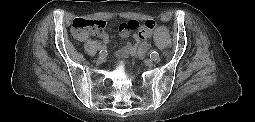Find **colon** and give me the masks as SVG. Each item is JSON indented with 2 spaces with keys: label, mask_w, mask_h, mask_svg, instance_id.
<instances>
[{
  "label": "colon",
  "mask_w": 255,
  "mask_h": 122,
  "mask_svg": "<svg viewBox=\"0 0 255 122\" xmlns=\"http://www.w3.org/2000/svg\"><path fill=\"white\" fill-rule=\"evenodd\" d=\"M106 25L103 20L76 18L72 23V33L75 38L81 39L87 31H103ZM120 25H124L130 31H137L141 38L149 36L154 28V22L150 20L144 22L130 20Z\"/></svg>",
  "instance_id": "1"
}]
</instances>
